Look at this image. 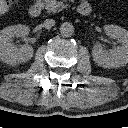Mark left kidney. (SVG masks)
Masks as SVG:
<instances>
[{"label": "left kidney", "mask_w": 128, "mask_h": 128, "mask_svg": "<svg viewBox=\"0 0 128 128\" xmlns=\"http://www.w3.org/2000/svg\"><path fill=\"white\" fill-rule=\"evenodd\" d=\"M104 31L109 37L121 41L122 46L113 49L110 53H107L99 44H96L92 50L94 61L104 68H117L127 64L128 31L116 25H105Z\"/></svg>", "instance_id": "1"}]
</instances>
